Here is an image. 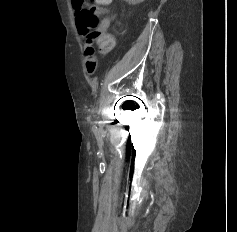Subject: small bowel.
<instances>
[{
  "instance_id": "1",
  "label": "small bowel",
  "mask_w": 237,
  "mask_h": 232,
  "mask_svg": "<svg viewBox=\"0 0 237 232\" xmlns=\"http://www.w3.org/2000/svg\"><path fill=\"white\" fill-rule=\"evenodd\" d=\"M96 11L99 14L104 13V9L101 7H96ZM111 23V19L105 18L102 21V27L106 30L110 27ZM84 54L86 71L88 72V74H92L97 66V59L95 56L94 48L90 44L86 45Z\"/></svg>"
}]
</instances>
